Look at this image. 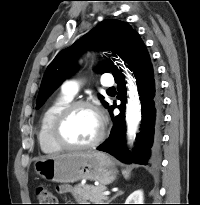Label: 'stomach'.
<instances>
[{
  "label": "stomach",
  "mask_w": 200,
  "mask_h": 205,
  "mask_svg": "<svg viewBox=\"0 0 200 205\" xmlns=\"http://www.w3.org/2000/svg\"><path fill=\"white\" fill-rule=\"evenodd\" d=\"M34 169L42 178L53 182L73 183L89 179L101 185L112 183L118 172L112 158L102 152L42 157L36 160Z\"/></svg>",
  "instance_id": "0dacf381"
}]
</instances>
